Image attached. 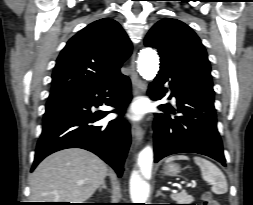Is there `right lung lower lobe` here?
<instances>
[{
	"mask_svg": "<svg viewBox=\"0 0 253 205\" xmlns=\"http://www.w3.org/2000/svg\"><path fill=\"white\" fill-rule=\"evenodd\" d=\"M130 101L131 83L123 74L100 87L49 99L32 170L53 152L82 148L102 158L120 177L131 141L130 126L121 115ZM103 103L116 109L90 111ZM111 112L120 116L106 124L96 123Z\"/></svg>",
	"mask_w": 253,
	"mask_h": 205,
	"instance_id": "obj_1",
	"label": "right lung lower lobe"
}]
</instances>
